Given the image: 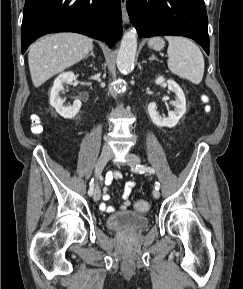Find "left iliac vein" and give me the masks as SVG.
<instances>
[{
	"label": "left iliac vein",
	"mask_w": 243,
	"mask_h": 289,
	"mask_svg": "<svg viewBox=\"0 0 243 289\" xmlns=\"http://www.w3.org/2000/svg\"><path fill=\"white\" fill-rule=\"evenodd\" d=\"M140 158L137 155L134 154H128L127 155V164L132 168L135 169V167L139 164ZM153 197L158 199L160 197V192L157 189H154L152 191Z\"/></svg>",
	"instance_id": "obj_1"
}]
</instances>
